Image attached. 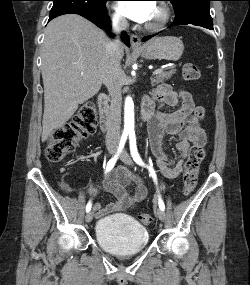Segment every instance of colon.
<instances>
[{
  "mask_svg": "<svg viewBox=\"0 0 250 285\" xmlns=\"http://www.w3.org/2000/svg\"><path fill=\"white\" fill-rule=\"evenodd\" d=\"M182 76L187 81L200 78V70L193 63H186L182 68ZM96 128V110L92 102H86L80 106L72 120L64 126L56 129L46 146V157L52 162H58L69 155L77 144L91 135ZM205 157L203 145H193L189 151L184 165L183 192L191 193L198 180L200 165ZM139 220L144 225H150L153 218L150 214L139 215Z\"/></svg>",
  "mask_w": 250,
  "mask_h": 285,
  "instance_id": "5ec220e1",
  "label": "colon"
}]
</instances>
